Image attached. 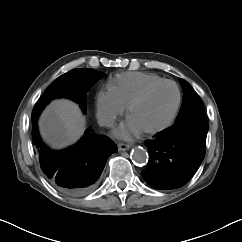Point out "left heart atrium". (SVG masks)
Here are the masks:
<instances>
[{
    "label": "left heart atrium",
    "mask_w": 242,
    "mask_h": 242,
    "mask_svg": "<svg viewBox=\"0 0 242 242\" xmlns=\"http://www.w3.org/2000/svg\"><path fill=\"white\" fill-rule=\"evenodd\" d=\"M140 132L141 130L130 119L115 130V134L122 138H130Z\"/></svg>",
    "instance_id": "1"
}]
</instances>
